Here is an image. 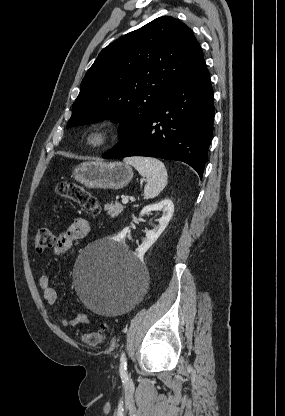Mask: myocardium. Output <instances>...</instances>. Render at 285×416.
Masks as SVG:
<instances>
[{"instance_id":"1","label":"myocardium","mask_w":285,"mask_h":416,"mask_svg":"<svg viewBox=\"0 0 285 416\" xmlns=\"http://www.w3.org/2000/svg\"><path fill=\"white\" fill-rule=\"evenodd\" d=\"M113 129L104 122L93 123L86 128L82 135L83 146L90 151L107 147L113 140Z\"/></svg>"}]
</instances>
